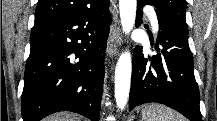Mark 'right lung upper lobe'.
I'll return each instance as SVG.
<instances>
[{
  "label": "right lung upper lobe",
  "mask_w": 217,
  "mask_h": 121,
  "mask_svg": "<svg viewBox=\"0 0 217 121\" xmlns=\"http://www.w3.org/2000/svg\"><path fill=\"white\" fill-rule=\"evenodd\" d=\"M92 0H39L35 13V23L77 14L92 5Z\"/></svg>",
  "instance_id": "right-lung-upper-lobe-1"
}]
</instances>
